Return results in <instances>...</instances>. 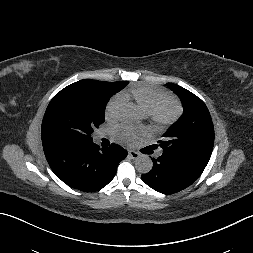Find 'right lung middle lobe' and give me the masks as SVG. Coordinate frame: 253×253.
Instances as JSON below:
<instances>
[{
    "label": "right lung middle lobe",
    "instance_id": "right-lung-middle-lobe-1",
    "mask_svg": "<svg viewBox=\"0 0 253 253\" xmlns=\"http://www.w3.org/2000/svg\"><path fill=\"white\" fill-rule=\"evenodd\" d=\"M127 84L80 80L62 89L49 103L42 121L43 147L93 142L92 133L105 121L106 104Z\"/></svg>",
    "mask_w": 253,
    "mask_h": 253
}]
</instances>
